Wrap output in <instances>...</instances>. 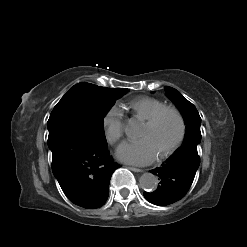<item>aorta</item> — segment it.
Listing matches in <instances>:
<instances>
[{
    "instance_id": "aorta-1",
    "label": "aorta",
    "mask_w": 247,
    "mask_h": 247,
    "mask_svg": "<svg viewBox=\"0 0 247 247\" xmlns=\"http://www.w3.org/2000/svg\"><path fill=\"white\" fill-rule=\"evenodd\" d=\"M139 130V126L135 121H130L126 126H125V133L129 137H134L136 133ZM140 185L141 187L148 191L152 192L157 189L158 186V178L152 173H144L140 177Z\"/></svg>"
}]
</instances>
